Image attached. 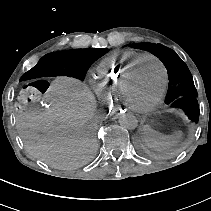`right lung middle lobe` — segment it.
<instances>
[{"instance_id": "1", "label": "right lung middle lobe", "mask_w": 211, "mask_h": 211, "mask_svg": "<svg viewBox=\"0 0 211 211\" xmlns=\"http://www.w3.org/2000/svg\"><path fill=\"white\" fill-rule=\"evenodd\" d=\"M82 52V64L79 73L75 76L81 80L84 79L85 73L90 67V65L95 62L98 58L103 56L108 52L107 48L104 49H96V48H89V49H81Z\"/></svg>"}]
</instances>
